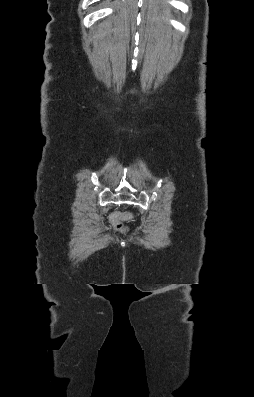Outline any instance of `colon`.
I'll return each instance as SVG.
<instances>
[{
  "mask_svg": "<svg viewBox=\"0 0 254 397\" xmlns=\"http://www.w3.org/2000/svg\"><path fill=\"white\" fill-rule=\"evenodd\" d=\"M132 217V214L129 212H124V213H114L111 217V223L113 227L116 230L119 231H126L127 226L124 224V222Z\"/></svg>",
  "mask_w": 254,
  "mask_h": 397,
  "instance_id": "1",
  "label": "colon"
}]
</instances>
